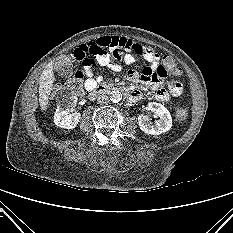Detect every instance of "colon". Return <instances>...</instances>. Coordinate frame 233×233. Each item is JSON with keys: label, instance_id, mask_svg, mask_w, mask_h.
<instances>
[{"label": "colon", "instance_id": "1", "mask_svg": "<svg viewBox=\"0 0 233 233\" xmlns=\"http://www.w3.org/2000/svg\"><path fill=\"white\" fill-rule=\"evenodd\" d=\"M161 75H179L181 73V68L178 66L177 62L170 56H164L161 61L159 68ZM58 90H65L74 95H81L83 93V74L77 72L73 77L63 81ZM188 109L183 104H177L175 107V115L179 120H185L188 117Z\"/></svg>", "mask_w": 233, "mask_h": 233}]
</instances>
